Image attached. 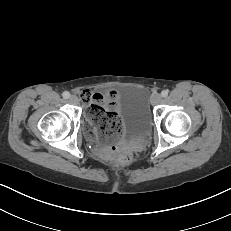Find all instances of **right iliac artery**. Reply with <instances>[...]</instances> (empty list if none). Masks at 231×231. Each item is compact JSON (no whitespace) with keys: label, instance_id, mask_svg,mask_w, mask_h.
Instances as JSON below:
<instances>
[{"label":"right iliac artery","instance_id":"1","mask_svg":"<svg viewBox=\"0 0 231 231\" xmlns=\"http://www.w3.org/2000/svg\"><path fill=\"white\" fill-rule=\"evenodd\" d=\"M63 98L68 99L70 97V93L68 91L63 92Z\"/></svg>","mask_w":231,"mask_h":231}]
</instances>
